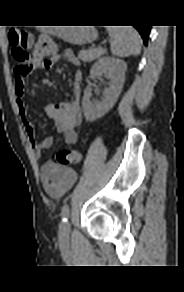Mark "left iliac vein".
<instances>
[{
	"label": "left iliac vein",
	"instance_id": "4c4485c4",
	"mask_svg": "<svg viewBox=\"0 0 184 292\" xmlns=\"http://www.w3.org/2000/svg\"><path fill=\"white\" fill-rule=\"evenodd\" d=\"M71 228L69 222L63 223L59 230V239L60 241H64L69 237Z\"/></svg>",
	"mask_w": 184,
	"mask_h": 292
}]
</instances>
